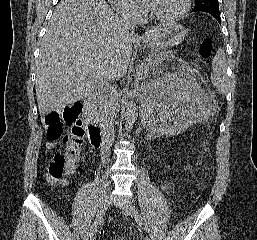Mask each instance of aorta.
I'll return each mask as SVG.
<instances>
[{"label":"aorta","mask_w":257,"mask_h":240,"mask_svg":"<svg viewBox=\"0 0 257 240\" xmlns=\"http://www.w3.org/2000/svg\"><path fill=\"white\" fill-rule=\"evenodd\" d=\"M136 119H137L136 104L133 101H129V102H127L126 112H125L126 131H128V132L131 131Z\"/></svg>","instance_id":"1"}]
</instances>
